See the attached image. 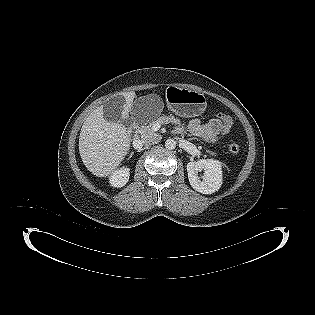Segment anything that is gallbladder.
<instances>
[{
	"mask_svg": "<svg viewBox=\"0 0 315 315\" xmlns=\"http://www.w3.org/2000/svg\"><path fill=\"white\" fill-rule=\"evenodd\" d=\"M125 101L122 97L118 96L108 100L103 104V116L109 122H124Z\"/></svg>",
	"mask_w": 315,
	"mask_h": 315,
	"instance_id": "gallbladder-1",
	"label": "gallbladder"
}]
</instances>
